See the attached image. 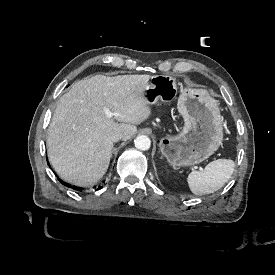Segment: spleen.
<instances>
[{
  "mask_svg": "<svg viewBox=\"0 0 275 275\" xmlns=\"http://www.w3.org/2000/svg\"><path fill=\"white\" fill-rule=\"evenodd\" d=\"M205 172H191L187 184L195 195L210 194L220 189L231 177L234 162L231 159H217L205 166Z\"/></svg>",
  "mask_w": 275,
  "mask_h": 275,
  "instance_id": "spleen-1",
  "label": "spleen"
}]
</instances>
